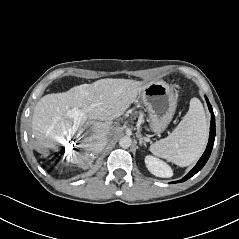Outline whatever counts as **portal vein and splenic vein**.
<instances>
[{
  "label": "portal vein and splenic vein",
  "instance_id": "1",
  "mask_svg": "<svg viewBox=\"0 0 239 239\" xmlns=\"http://www.w3.org/2000/svg\"><path fill=\"white\" fill-rule=\"evenodd\" d=\"M67 116L73 119V126L68 129L67 133L69 135H74L79 129L80 125L85 122L86 115L79 108H73L68 110Z\"/></svg>",
  "mask_w": 239,
  "mask_h": 239
}]
</instances>
